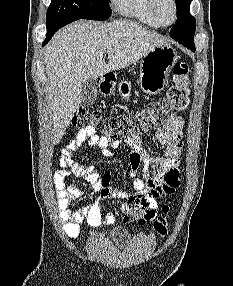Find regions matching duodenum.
Instances as JSON below:
<instances>
[{"label": "duodenum", "mask_w": 233, "mask_h": 286, "mask_svg": "<svg viewBox=\"0 0 233 286\" xmlns=\"http://www.w3.org/2000/svg\"><path fill=\"white\" fill-rule=\"evenodd\" d=\"M105 80H106V82H110V81L113 80V76L110 75V74H106V75H105Z\"/></svg>", "instance_id": "duodenum-1"}]
</instances>
